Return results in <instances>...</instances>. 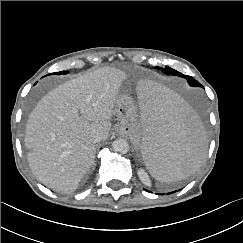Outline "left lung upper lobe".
<instances>
[{
	"mask_svg": "<svg viewBox=\"0 0 243 243\" xmlns=\"http://www.w3.org/2000/svg\"><path fill=\"white\" fill-rule=\"evenodd\" d=\"M157 69H162V71L165 73V74H170V75H176V76H181V77H184L188 80V83L191 85V86H195V87H202V85L196 81L194 78H192L191 76H187V75H183L182 73L166 66L165 68H160V67H156Z\"/></svg>",
	"mask_w": 243,
	"mask_h": 243,
	"instance_id": "left-lung-upper-lobe-1",
	"label": "left lung upper lobe"
}]
</instances>
